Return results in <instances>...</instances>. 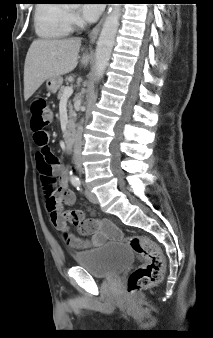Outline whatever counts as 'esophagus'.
<instances>
[{
	"label": "esophagus",
	"mask_w": 213,
	"mask_h": 338,
	"mask_svg": "<svg viewBox=\"0 0 213 338\" xmlns=\"http://www.w3.org/2000/svg\"><path fill=\"white\" fill-rule=\"evenodd\" d=\"M108 8L109 6L107 7L104 15L102 16V18L100 19V21L98 22V24L92 29V31L90 32L89 34V39H90V42L91 43H94L96 40H97V37L99 35V32H100V29H101V26L108 14Z\"/></svg>",
	"instance_id": "34e87169"
}]
</instances>
